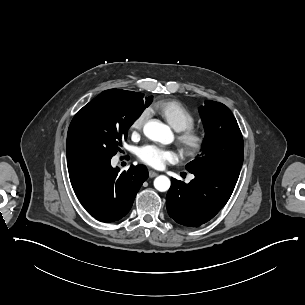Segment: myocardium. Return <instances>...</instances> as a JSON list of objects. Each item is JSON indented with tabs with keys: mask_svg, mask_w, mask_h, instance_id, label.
Returning a JSON list of instances; mask_svg holds the SVG:
<instances>
[{
	"mask_svg": "<svg viewBox=\"0 0 305 305\" xmlns=\"http://www.w3.org/2000/svg\"><path fill=\"white\" fill-rule=\"evenodd\" d=\"M178 141L185 155L196 157L203 152L207 143L206 133L197 128L180 131Z\"/></svg>",
	"mask_w": 305,
	"mask_h": 305,
	"instance_id": "1",
	"label": "myocardium"
}]
</instances>
